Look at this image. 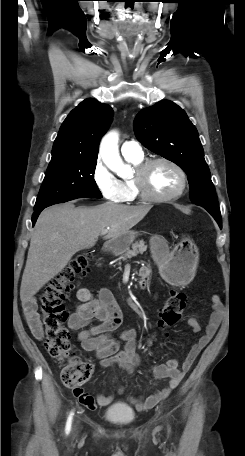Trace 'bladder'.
<instances>
[{
    "label": "bladder",
    "mask_w": 245,
    "mask_h": 456,
    "mask_svg": "<svg viewBox=\"0 0 245 456\" xmlns=\"http://www.w3.org/2000/svg\"><path fill=\"white\" fill-rule=\"evenodd\" d=\"M104 415L110 422L120 425L130 424L135 417L132 408L125 403H115L109 406Z\"/></svg>",
    "instance_id": "obj_1"
}]
</instances>
